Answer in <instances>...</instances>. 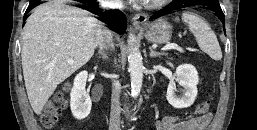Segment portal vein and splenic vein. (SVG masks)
<instances>
[{
  "label": "portal vein and splenic vein",
  "instance_id": "18ae733b",
  "mask_svg": "<svg viewBox=\"0 0 257 130\" xmlns=\"http://www.w3.org/2000/svg\"><path fill=\"white\" fill-rule=\"evenodd\" d=\"M170 49H176L180 52H183L182 48H180V47H178L177 45H174V44L168 45V46L164 47L162 50H170ZM68 63H73V60H69Z\"/></svg>",
  "mask_w": 257,
  "mask_h": 130
}]
</instances>
